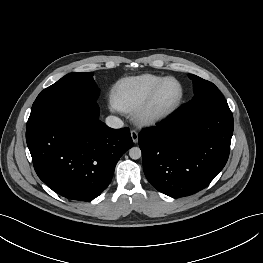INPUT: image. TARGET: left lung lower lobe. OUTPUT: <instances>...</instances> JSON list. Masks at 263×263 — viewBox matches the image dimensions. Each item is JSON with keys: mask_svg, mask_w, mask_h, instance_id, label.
I'll list each match as a JSON object with an SVG mask.
<instances>
[{"mask_svg": "<svg viewBox=\"0 0 263 263\" xmlns=\"http://www.w3.org/2000/svg\"><path fill=\"white\" fill-rule=\"evenodd\" d=\"M232 134L231 111L185 118L177 110L139 134L145 176L168 196L192 195L205 188L225 166Z\"/></svg>", "mask_w": 263, "mask_h": 263, "instance_id": "1", "label": "left lung lower lobe"}]
</instances>
